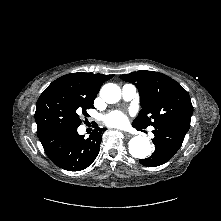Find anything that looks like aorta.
<instances>
[{"label":"aorta","instance_id":"762f6f07","mask_svg":"<svg viewBox=\"0 0 221 221\" xmlns=\"http://www.w3.org/2000/svg\"><path fill=\"white\" fill-rule=\"evenodd\" d=\"M101 98L109 104L117 103L121 98V89L113 83H107L100 90ZM130 154L139 159H144L151 153V144L147 137L135 136L129 141Z\"/></svg>","mask_w":221,"mask_h":221}]
</instances>
